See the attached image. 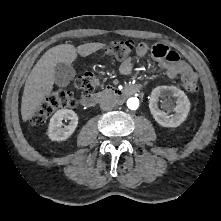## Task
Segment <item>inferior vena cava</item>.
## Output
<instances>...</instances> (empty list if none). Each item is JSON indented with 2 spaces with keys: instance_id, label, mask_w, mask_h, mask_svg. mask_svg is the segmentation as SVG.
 I'll list each match as a JSON object with an SVG mask.
<instances>
[{
  "instance_id": "602c4592",
  "label": "inferior vena cava",
  "mask_w": 221,
  "mask_h": 221,
  "mask_svg": "<svg viewBox=\"0 0 221 221\" xmlns=\"http://www.w3.org/2000/svg\"><path fill=\"white\" fill-rule=\"evenodd\" d=\"M116 106V102L111 97H104L100 101V107L104 111H110Z\"/></svg>"
}]
</instances>
